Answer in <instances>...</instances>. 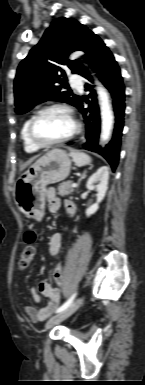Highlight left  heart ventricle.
Returning a JSON list of instances; mask_svg holds the SVG:
<instances>
[{
    "mask_svg": "<svg viewBox=\"0 0 145 385\" xmlns=\"http://www.w3.org/2000/svg\"><path fill=\"white\" fill-rule=\"evenodd\" d=\"M74 129L71 118L59 110L43 114L35 125V135L43 142H52L68 136Z\"/></svg>",
    "mask_w": 145,
    "mask_h": 385,
    "instance_id": "b2bd125f",
    "label": "left heart ventricle"
}]
</instances>
